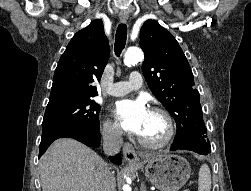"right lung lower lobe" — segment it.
<instances>
[{
  "instance_id": "obj_1",
  "label": "right lung lower lobe",
  "mask_w": 251,
  "mask_h": 191,
  "mask_svg": "<svg viewBox=\"0 0 251 191\" xmlns=\"http://www.w3.org/2000/svg\"><path fill=\"white\" fill-rule=\"evenodd\" d=\"M63 137L73 138L89 147H98L101 140L99 129H90L77 125L62 127L42 136L39 157L46 151L54 140ZM110 160L118 165L122 163L119 154L114 157H110Z\"/></svg>"
}]
</instances>
